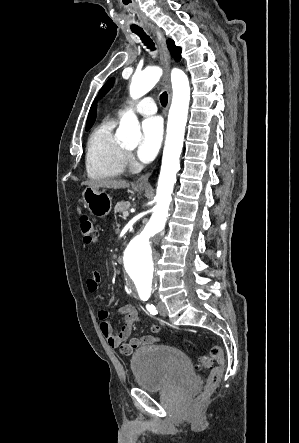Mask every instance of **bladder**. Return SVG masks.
Wrapping results in <instances>:
<instances>
[{"label": "bladder", "mask_w": 299, "mask_h": 443, "mask_svg": "<svg viewBox=\"0 0 299 443\" xmlns=\"http://www.w3.org/2000/svg\"><path fill=\"white\" fill-rule=\"evenodd\" d=\"M130 368L135 383L145 390H161L194 378L187 355L168 345L137 350L130 359Z\"/></svg>", "instance_id": "1"}]
</instances>
